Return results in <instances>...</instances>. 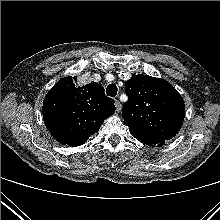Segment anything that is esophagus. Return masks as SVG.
<instances>
[{
    "instance_id": "1",
    "label": "esophagus",
    "mask_w": 220,
    "mask_h": 220,
    "mask_svg": "<svg viewBox=\"0 0 220 220\" xmlns=\"http://www.w3.org/2000/svg\"><path fill=\"white\" fill-rule=\"evenodd\" d=\"M115 107H116V112H120L121 111V109H122V105H121V103H120V101L119 100H115Z\"/></svg>"
}]
</instances>
